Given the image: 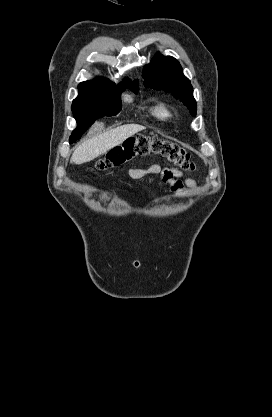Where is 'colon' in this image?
I'll list each match as a JSON object with an SVG mask.
<instances>
[{
	"label": "colon",
	"instance_id": "obj_1",
	"mask_svg": "<svg viewBox=\"0 0 272 417\" xmlns=\"http://www.w3.org/2000/svg\"><path fill=\"white\" fill-rule=\"evenodd\" d=\"M149 155H158L183 170L192 171L195 169V164L186 150L173 142L148 136L130 138L111 149L102 159L97 161L95 168L97 170L117 168L126 162Z\"/></svg>",
	"mask_w": 272,
	"mask_h": 417
}]
</instances>
